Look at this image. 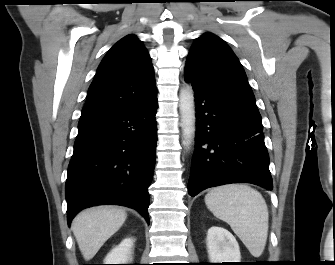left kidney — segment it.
Instances as JSON below:
<instances>
[{
    "label": "left kidney",
    "instance_id": "obj_1",
    "mask_svg": "<svg viewBox=\"0 0 335 265\" xmlns=\"http://www.w3.org/2000/svg\"><path fill=\"white\" fill-rule=\"evenodd\" d=\"M206 242L211 263L240 262L239 244L228 230L212 226L207 232Z\"/></svg>",
    "mask_w": 335,
    "mask_h": 265
}]
</instances>
